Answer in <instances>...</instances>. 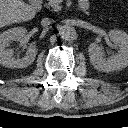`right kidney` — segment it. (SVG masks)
<instances>
[{
  "instance_id": "obj_1",
  "label": "right kidney",
  "mask_w": 128,
  "mask_h": 128,
  "mask_svg": "<svg viewBox=\"0 0 128 128\" xmlns=\"http://www.w3.org/2000/svg\"><path fill=\"white\" fill-rule=\"evenodd\" d=\"M26 32L25 28L16 27L0 34V64L8 68H25L34 62L37 53L35 45L31 44L26 51V56L21 59H15L13 57L14 50L6 48L9 41H20Z\"/></svg>"
}]
</instances>
